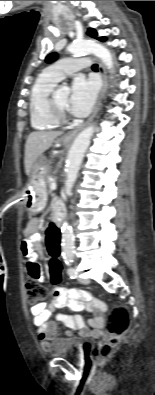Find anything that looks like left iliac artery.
Listing matches in <instances>:
<instances>
[{
	"label": "left iliac artery",
	"mask_w": 155,
	"mask_h": 395,
	"mask_svg": "<svg viewBox=\"0 0 155 395\" xmlns=\"http://www.w3.org/2000/svg\"><path fill=\"white\" fill-rule=\"evenodd\" d=\"M73 259L69 258L65 260L66 265L68 266L67 273L71 279H75L77 277V271L71 265L73 263Z\"/></svg>",
	"instance_id": "1"
}]
</instances>
